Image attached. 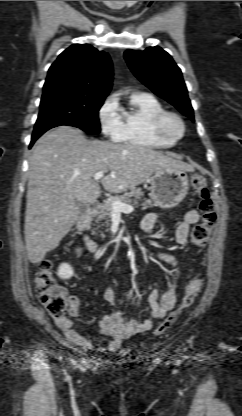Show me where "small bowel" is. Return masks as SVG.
Returning a JSON list of instances; mask_svg holds the SVG:
<instances>
[{
  "label": "small bowel",
  "instance_id": "obj_1",
  "mask_svg": "<svg viewBox=\"0 0 242 416\" xmlns=\"http://www.w3.org/2000/svg\"><path fill=\"white\" fill-rule=\"evenodd\" d=\"M159 218V213H148L141 222L142 229L147 234H153L155 224ZM199 219V213L196 210H190L186 213L184 219L177 225L175 230V242L179 247L186 245L189 230L191 226L199 221ZM159 257L172 266L173 277L164 293L160 294L159 290L156 288L150 292L148 296L150 305L149 317L145 318L143 321L125 320L122 311L119 308L114 289L110 286H107L104 289L103 297L113 308L110 312L105 313L100 321L99 333L108 338L105 346L100 348L101 351H116L125 339L149 331L153 326L154 319L164 317L166 313L174 307L177 297V280L180 275V261L175 255L169 253H160ZM70 302V315L76 317L79 314V302L76 299H71ZM54 321L70 343L87 351L95 349L93 342L86 339L74 329L73 322L70 318L63 316L61 318H54Z\"/></svg>",
  "mask_w": 242,
  "mask_h": 416
}]
</instances>
